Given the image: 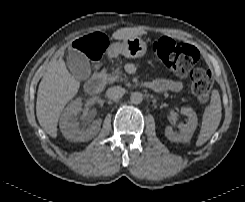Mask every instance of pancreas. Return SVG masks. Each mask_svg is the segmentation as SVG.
Wrapping results in <instances>:
<instances>
[{
  "mask_svg": "<svg viewBox=\"0 0 245 202\" xmlns=\"http://www.w3.org/2000/svg\"><path fill=\"white\" fill-rule=\"evenodd\" d=\"M126 78L125 73L121 71V66H118L116 69H113L112 73L108 76L107 82L123 81L126 80Z\"/></svg>",
  "mask_w": 245,
  "mask_h": 202,
  "instance_id": "1",
  "label": "pancreas"
}]
</instances>
